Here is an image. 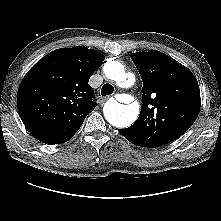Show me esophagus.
<instances>
[{"mask_svg":"<svg viewBox=\"0 0 221 221\" xmlns=\"http://www.w3.org/2000/svg\"><path fill=\"white\" fill-rule=\"evenodd\" d=\"M107 98H108V97H99L97 101H98L100 104H102V103H104V102L107 100Z\"/></svg>","mask_w":221,"mask_h":221,"instance_id":"obj_1","label":"esophagus"}]
</instances>
